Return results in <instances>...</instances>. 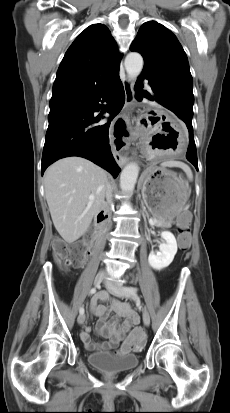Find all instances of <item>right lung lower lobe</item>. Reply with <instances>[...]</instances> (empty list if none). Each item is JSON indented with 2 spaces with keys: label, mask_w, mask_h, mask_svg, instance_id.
I'll return each instance as SVG.
<instances>
[{
  "label": "right lung lower lobe",
  "mask_w": 230,
  "mask_h": 413,
  "mask_svg": "<svg viewBox=\"0 0 230 413\" xmlns=\"http://www.w3.org/2000/svg\"><path fill=\"white\" fill-rule=\"evenodd\" d=\"M99 102H107L106 111L111 115L104 125H96L102 117H94V112L103 108ZM124 102V88L118 76L112 84L89 99L50 107L42 155V175L56 160L79 156L91 160L116 178L120 168L111 153L108 134L110 123Z\"/></svg>",
  "instance_id": "98d812e1"
}]
</instances>
